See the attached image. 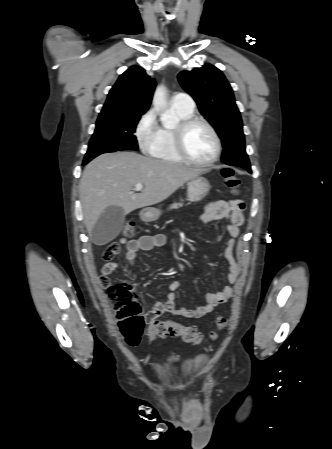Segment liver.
Here are the masks:
<instances>
[{"label": "liver", "mask_w": 332, "mask_h": 449, "mask_svg": "<svg viewBox=\"0 0 332 449\" xmlns=\"http://www.w3.org/2000/svg\"><path fill=\"white\" fill-rule=\"evenodd\" d=\"M202 170L142 156L135 152L107 153L84 169L79 193L88 233L109 206H120L124 214L160 203ZM142 184L140 193L133 192Z\"/></svg>", "instance_id": "6515ba94"}]
</instances>
